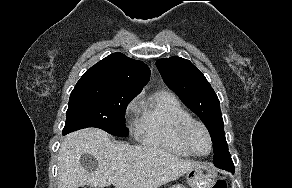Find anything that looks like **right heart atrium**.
Here are the masks:
<instances>
[{"label": "right heart atrium", "instance_id": "right-heart-atrium-1", "mask_svg": "<svg viewBox=\"0 0 292 188\" xmlns=\"http://www.w3.org/2000/svg\"><path fill=\"white\" fill-rule=\"evenodd\" d=\"M136 107H137V102H136V100H133V101H131L129 104H128V106H127V114L128 115H131L132 113H134L135 112V110H136Z\"/></svg>", "mask_w": 292, "mask_h": 188}]
</instances>
